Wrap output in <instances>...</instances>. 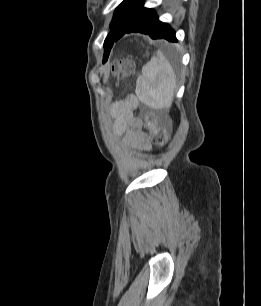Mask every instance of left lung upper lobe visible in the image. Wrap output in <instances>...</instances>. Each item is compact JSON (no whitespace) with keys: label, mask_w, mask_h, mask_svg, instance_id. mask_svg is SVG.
Listing matches in <instances>:
<instances>
[{"label":"left lung upper lobe","mask_w":261,"mask_h":306,"mask_svg":"<svg viewBox=\"0 0 261 306\" xmlns=\"http://www.w3.org/2000/svg\"><path fill=\"white\" fill-rule=\"evenodd\" d=\"M142 6L143 0H124L117 7L110 24L111 31L104 42V61L107 60L113 43L119 39L122 32L128 27Z\"/></svg>","instance_id":"1"}]
</instances>
